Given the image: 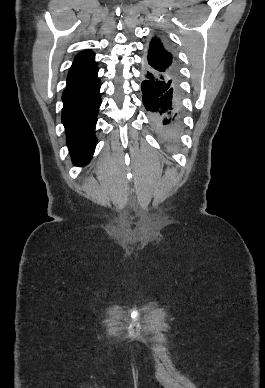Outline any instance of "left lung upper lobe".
Masks as SVG:
<instances>
[{
    "mask_svg": "<svg viewBox=\"0 0 265 388\" xmlns=\"http://www.w3.org/2000/svg\"><path fill=\"white\" fill-rule=\"evenodd\" d=\"M145 64L151 68L169 73L177 80L179 78L178 67L173 55L160 38H152Z\"/></svg>",
    "mask_w": 265,
    "mask_h": 388,
    "instance_id": "1",
    "label": "left lung upper lobe"
}]
</instances>
